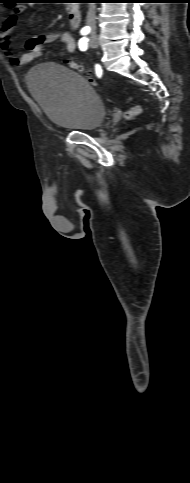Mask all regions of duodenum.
Returning a JSON list of instances; mask_svg holds the SVG:
<instances>
[{
    "mask_svg": "<svg viewBox=\"0 0 190 483\" xmlns=\"http://www.w3.org/2000/svg\"><path fill=\"white\" fill-rule=\"evenodd\" d=\"M69 24L72 28H77L80 23L81 14L77 7H72L68 11Z\"/></svg>",
    "mask_w": 190,
    "mask_h": 483,
    "instance_id": "1",
    "label": "duodenum"
}]
</instances>
